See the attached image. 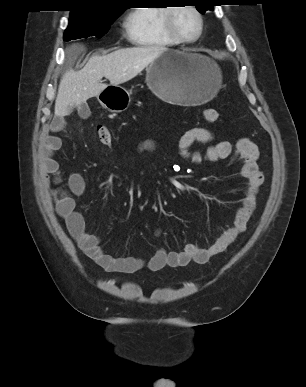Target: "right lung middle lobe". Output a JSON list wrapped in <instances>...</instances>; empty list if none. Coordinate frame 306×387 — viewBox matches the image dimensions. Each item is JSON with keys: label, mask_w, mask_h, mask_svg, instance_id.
Returning <instances> with one entry per match:
<instances>
[{"label": "right lung middle lobe", "mask_w": 306, "mask_h": 387, "mask_svg": "<svg viewBox=\"0 0 306 387\" xmlns=\"http://www.w3.org/2000/svg\"><path fill=\"white\" fill-rule=\"evenodd\" d=\"M123 11L95 17H70L64 40L70 41L90 36L101 38L108 32L110 25Z\"/></svg>", "instance_id": "dd1d6c3e"}]
</instances>
